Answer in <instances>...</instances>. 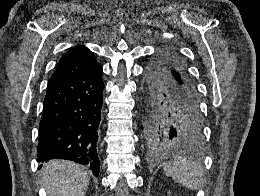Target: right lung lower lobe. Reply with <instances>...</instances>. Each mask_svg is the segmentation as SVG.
<instances>
[{
    "label": "right lung lower lobe",
    "mask_w": 260,
    "mask_h": 196,
    "mask_svg": "<svg viewBox=\"0 0 260 196\" xmlns=\"http://www.w3.org/2000/svg\"><path fill=\"white\" fill-rule=\"evenodd\" d=\"M103 89L102 70L47 89L40 122L38 162L67 159L89 165L98 176L97 142Z\"/></svg>",
    "instance_id": "98d812e1"
}]
</instances>
